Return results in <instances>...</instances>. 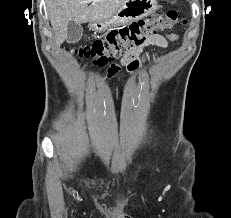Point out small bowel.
<instances>
[{"label":"small bowel","instance_id":"c3829d8e","mask_svg":"<svg viewBox=\"0 0 231 218\" xmlns=\"http://www.w3.org/2000/svg\"><path fill=\"white\" fill-rule=\"evenodd\" d=\"M177 39L176 34H165V35H154L150 37L147 42L139 48H136L135 50L131 51L130 53L126 54L120 61V64L112 63L111 68H107L103 70L102 72L105 74H108L109 77L117 76L119 74H124L125 70L120 69L121 66H128V69L130 71H134L138 68L139 63L145 61L146 64L147 60H143L138 58V56L141 54L144 47L147 46H158L162 48H166L168 46L169 41H173Z\"/></svg>","mask_w":231,"mask_h":218}]
</instances>
